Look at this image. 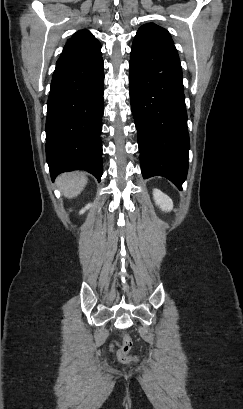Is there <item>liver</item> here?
Instances as JSON below:
<instances>
[{
    "label": "liver",
    "instance_id": "6515ba94",
    "mask_svg": "<svg viewBox=\"0 0 243 409\" xmlns=\"http://www.w3.org/2000/svg\"><path fill=\"white\" fill-rule=\"evenodd\" d=\"M56 184L66 198H74L86 186L87 178L85 173L80 171L63 173L57 177Z\"/></svg>",
    "mask_w": 243,
    "mask_h": 409
}]
</instances>
